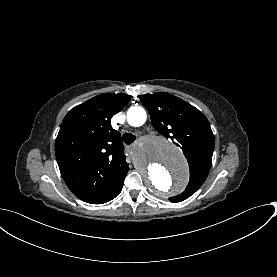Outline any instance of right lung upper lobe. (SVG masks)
<instances>
[{"label":"right lung upper lobe","mask_w":277,"mask_h":277,"mask_svg":"<svg viewBox=\"0 0 277 277\" xmlns=\"http://www.w3.org/2000/svg\"><path fill=\"white\" fill-rule=\"evenodd\" d=\"M130 99L122 93L100 94L74 107L62 121L55 142L57 163L69 189L84 202L111 194L129 170L111 118Z\"/></svg>","instance_id":"1"}]
</instances>
